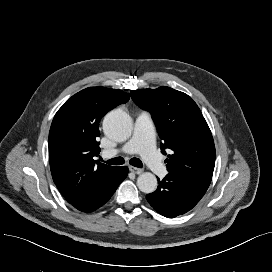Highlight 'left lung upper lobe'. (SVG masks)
Returning <instances> with one entry per match:
<instances>
[{"label":"left lung upper lobe","mask_w":272,"mask_h":272,"mask_svg":"<svg viewBox=\"0 0 272 272\" xmlns=\"http://www.w3.org/2000/svg\"><path fill=\"white\" fill-rule=\"evenodd\" d=\"M133 101L151 113L168 155L169 173L190 175L211 181L215 146L211 131L199 107L187 94L162 86L131 91Z\"/></svg>","instance_id":"1"}]
</instances>
